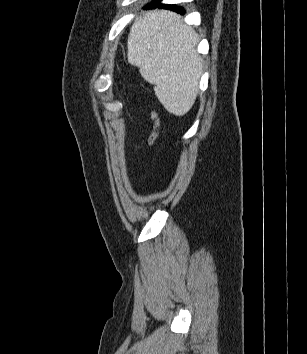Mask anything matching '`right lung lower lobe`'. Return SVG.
<instances>
[{
	"label": "right lung lower lobe",
	"instance_id": "right-lung-lower-lobe-1",
	"mask_svg": "<svg viewBox=\"0 0 307 354\" xmlns=\"http://www.w3.org/2000/svg\"><path fill=\"white\" fill-rule=\"evenodd\" d=\"M158 1H160V0H156L155 2L151 3L150 6H152V7H157L158 6V7L173 9L175 11H181L182 13H184L183 8H178L177 9L174 5H162L160 3H157Z\"/></svg>",
	"mask_w": 307,
	"mask_h": 354
}]
</instances>
